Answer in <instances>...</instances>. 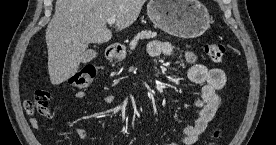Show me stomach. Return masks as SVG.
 Listing matches in <instances>:
<instances>
[{"label":"stomach","mask_w":276,"mask_h":145,"mask_svg":"<svg viewBox=\"0 0 276 145\" xmlns=\"http://www.w3.org/2000/svg\"><path fill=\"white\" fill-rule=\"evenodd\" d=\"M147 15L156 28L180 38L199 37L210 25L209 12L198 0H150Z\"/></svg>","instance_id":"stomach-1"}]
</instances>
